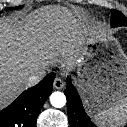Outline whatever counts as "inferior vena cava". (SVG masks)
Masks as SVG:
<instances>
[{
	"mask_svg": "<svg viewBox=\"0 0 127 127\" xmlns=\"http://www.w3.org/2000/svg\"><path fill=\"white\" fill-rule=\"evenodd\" d=\"M45 75H46L45 68L38 69L35 73L30 75V77L28 79V86L30 87V86L37 84L44 78Z\"/></svg>",
	"mask_w": 127,
	"mask_h": 127,
	"instance_id": "inferior-vena-cava-1",
	"label": "inferior vena cava"
}]
</instances>
